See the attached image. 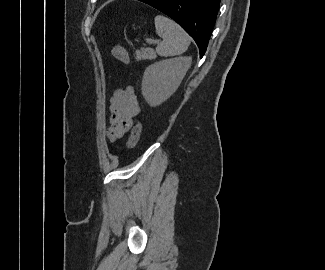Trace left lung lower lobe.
Returning <instances> with one entry per match:
<instances>
[{"instance_id":"1","label":"left lung lower lobe","mask_w":325,"mask_h":270,"mask_svg":"<svg viewBox=\"0 0 325 270\" xmlns=\"http://www.w3.org/2000/svg\"><path fill=\"white\" fill-rule=\"evenodd\" d=\"M175 20L196 42L200 58L210 39L220 0H139Z\"/></svg>"}]
</instances>
